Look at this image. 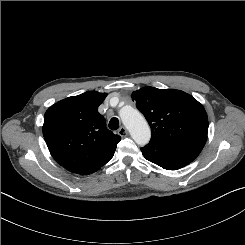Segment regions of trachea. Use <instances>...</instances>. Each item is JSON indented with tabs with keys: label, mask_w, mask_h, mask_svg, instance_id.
Wrapping results in <instances>:
<instances>
[{
	"label": "trachea",
	"mask_w": 245,
	"mask_h": 245,
	"mask_svg": "<svg viewBox=\"0 0 245 245\" xmlns=\"http://www.w3.org/2000/svg\"><path fill=\"white\" fill-rule=\"evenodd\" d=\"M109 128L117 130L119 128V120L117 118H112L109 122Z\"/></svg>",
	"instance_id": "obj_1"
}]
</instances>
